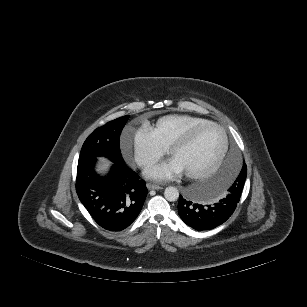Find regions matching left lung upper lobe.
I'll return each instance as SVG.
<instances>
[{"mask_svg": "<svg viewBox=\"0 0 307 307\" xmlns=\"http://www.w3.org/2000/svg\"><path fill=\"white\" fill-rule=\"evenodd\" d=\"M246 176H247V167L246 164H243L240 174L234 181L233 185L228 189V192H232L241 196Z\"/></svg>", "mask_w": 307, "mask_h": 307, "instance_id": "left-lung-upper-lobe-1", "label": "left lung upper lobe"}]
</instances>
